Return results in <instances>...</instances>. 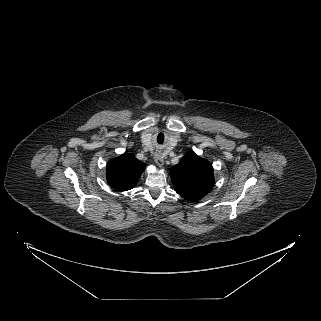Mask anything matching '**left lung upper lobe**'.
<instances>
[{
	"mask_svg": "<svg viewBox=\"0 0 321 321\" xmlns=\"http://www.w3.org/2000/svg\"><path fill=\"white\" fill-rule=\"evenodd\" d=\"M175 191L189 201H198L213 187L214 177L211 164L193 151L170 169Z\"/></svg>",
	"mask_w": 321,
	"mask_h": 321,
	"instance_id": "obj_1",
	"label": "left lung upper lobe"
}]
</instances>
